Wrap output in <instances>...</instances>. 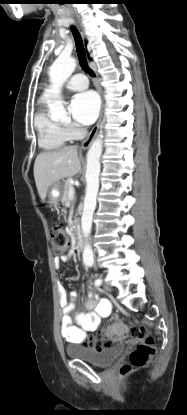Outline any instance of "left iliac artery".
Here are the masks:
<instances>
[{
    "label": "left iliac artery",
    "mask_w": 187,
    "mask_h": 415,
    "mask_svg": "<svg viewBox=\"0 0 187 415\" xmlns=\"http://www.w3.org/2000/svg\"><path fill=\"white\" fill-rule=\"evenodd\" d=\"M102 284V280L101 279H97L96 281H95V285L96 286H100Z\"/></svg>",
    "instance_id": "1"
}]
</instances>
